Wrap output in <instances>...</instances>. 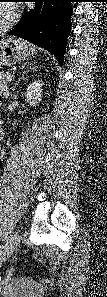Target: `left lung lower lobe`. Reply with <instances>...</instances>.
<instances>
[{"label": "left lung lower lobe", "mask_w": 107, "mask_h": 297, "mask_svg": "<svg viewBox=\"0 0 107 297\" xmlns=\"http://www.w3.org/2000/svg\"><path fill=\"white\" fill-rule=\"evenodd\" d=\"M28 0H24L26 2ZM30 1V0H29ZM34 9L8 34L23 38L51 52L60 64L63 62L67 36L71 31L74 0H31Z\"/></svg>", "instance_id": "0a47b994"}]
</instances>
